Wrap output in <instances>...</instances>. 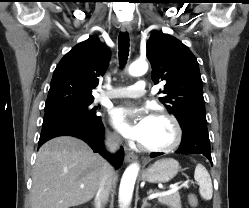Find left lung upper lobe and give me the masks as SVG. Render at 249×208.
Wrapping results in <instances>:
<instances>
[{"label":"left lung upper lobe","mask_w":249,"mask_h":208,"mask_svg":"<svg viewBox=\"0 0 249 208\" xmlns=\"http://www.w3.org/2000/svg\"><path fill=\"white\" fill-rule=\"evenodd\" d=\"M147 58L155 84L164 81L159 98L178 120L181 128L191 121L207 123L202 79L198 62L180 40L162 32H153L147 42Z\"/></svg>","instance_id":"left-lung-upper-lobe-1"}]
</instances>
